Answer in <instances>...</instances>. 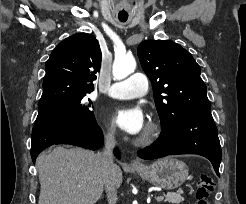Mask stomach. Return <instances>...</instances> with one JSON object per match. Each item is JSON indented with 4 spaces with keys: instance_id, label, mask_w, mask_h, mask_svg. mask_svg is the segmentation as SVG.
<instances>
[{
    "instance_id": "obj_1",
    "label": "stomach",
    "mask_w": 246,
    "mask_h": 204,
    "mask_svg": "<svg viewBox=\"0 0 246 204\" xmlns=\"http://www.w3.org/2000/svg\"><path fill=\"white\" fill-rule=\"evenodd\" d=\"M134 170L144 180L168 190L178 188L188 177L187 165L173 157L162 158L150 165L134 168Z\"/></svg>"
}]
</instances>
